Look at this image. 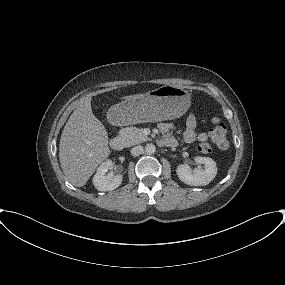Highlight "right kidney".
I'll return each instance as SVG.
<instances>
[{
  "mask_svg": "<svg viewBox=\"0 0 285 285\" xmlns=\"http://www.w3.org/2000/svg\"><path fill=\"white\" fill-rule=\"evenodd\" d=\"M112 161L106 160L98 167L96 174L93 177V184L98 191H111L118 188L123 180L122 175H114L107 173L111 169Z\"/></svg>",
  "mask_w": 285,
  "mask_h": 285,
  "instance_id": "1",
  "label": "right kidney"
}]
</instances>
